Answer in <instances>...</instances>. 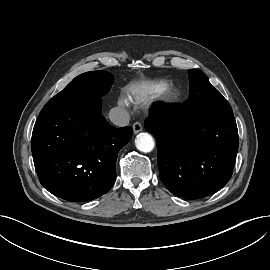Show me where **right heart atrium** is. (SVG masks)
Returning <instances> with one entry per match:
<instances>
[{
    "mask_svg": "<svg viewBox=\"0 0 270 270\" xmlns=\"http://www.w3.org/2000/svg\"><path fill=\"white\" fill-rule=\"evenodd\" d=\"M120 104H121L122 106H126V105H127V102H126L125 100H120Z\"/></svg>",
    "mask_w": 270,
    "mask_h": 270,
    "instance_id": "right-heart-atrium-1",
    "label": "right heart atrium"
}]
</instances>
